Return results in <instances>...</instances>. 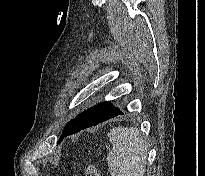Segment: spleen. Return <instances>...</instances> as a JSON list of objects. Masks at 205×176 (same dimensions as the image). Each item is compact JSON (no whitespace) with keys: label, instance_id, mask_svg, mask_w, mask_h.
Segmentation results:
<instances>
[{"label":"spleen","instance_id":"1","mask_svg":"<svg viewBox=\"0 0 205 176\" xmlns=\"http://www.w3.org/2000/svg\"><path fill=\"white\" fill-rule=\"evenodd\" d=\"M108 138L113 146L107 156L111 176H144L148 148L139 130L115 127Z\"/></svg>","mask_w":205,"mask_h":176}]
</instances>
